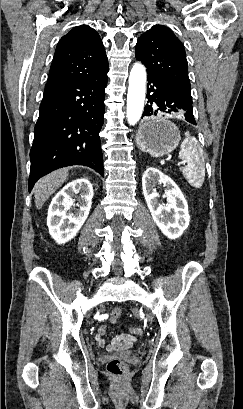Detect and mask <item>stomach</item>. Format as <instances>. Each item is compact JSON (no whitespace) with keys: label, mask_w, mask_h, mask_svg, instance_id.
<instances>
[{"label":"stomach","mask_w":243,"mask_h":409,"mask_svg":"<svg viewBox=\"0 0 243 409\" xmlns=\"http://www.w3.org/2000/svg\"><path fill=\"white\" fill-rule=\"evenodd\" d=\"M181 137L177 126L165 117H151L144 121L136 135L140 150L153 157L171 153L179 144Z\"/></svg>","instance_id":"1"}]
</instances>
